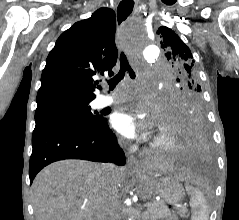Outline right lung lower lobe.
<instances>
[{
    "label": "right lung lower lobe",
    "instance_id": "obj_1",
    "mask_svg": "<svg viewBox=\"0 0 239 220\" xmlns=\"http://www.w3.org/2000/svg\"><path fill=\"white\" fill-rule=\"evenodd\" d=\"M30 157V184L46 165L63 159H83L95 162L126 163L125 155L106 119L95 129L66 126L35 127Z\"/></svg>",
    "mask_w": 239,
    "mask_h": 220
}]
</instances>
